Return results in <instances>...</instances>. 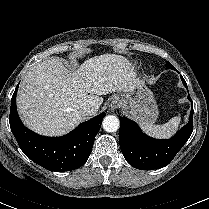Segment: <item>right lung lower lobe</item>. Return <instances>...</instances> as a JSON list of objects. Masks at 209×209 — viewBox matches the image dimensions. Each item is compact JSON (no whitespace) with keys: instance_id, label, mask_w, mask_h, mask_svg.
I'll return each instance as SVG.
<instances>
[{"instance_id":"obj_1","label":"right lung lower lobe","mask_w":209,"mask_h":209,"mask_svg":"<svg viewBox=\"0 0 209 209\" xmlns=\"http://www.w3.org/2000/svg\"><path fill=\"white\" fill-rule=\"evenodd\" d=\"M11 99L9 123L11 131L24 154L50 171H69L80 168L87 161L99 132L105 112L80 124L62 137L40 136L27 129L16 109V94Z\"/></svg>"}]
</instances>
